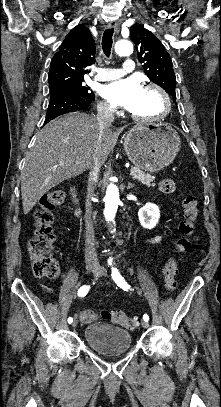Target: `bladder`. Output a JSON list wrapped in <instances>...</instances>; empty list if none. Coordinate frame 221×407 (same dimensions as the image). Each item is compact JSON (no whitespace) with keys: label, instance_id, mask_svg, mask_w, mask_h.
<instances>
[{"label":"bladder","instance_id":"1","mask_svg":"<svg viewBox=\"0 0 221 407\" xmlns=\"http://www.w3.org/2000/svg\"><path fill=\"white\" fill-rule=\"evenodd\" d=\"M84 339L89 347L104 356L125 353L131 345L129 330L107 323H92L84 330Z\"/></svg>","mask_w":221,"mask_h":407}]
</instances>
